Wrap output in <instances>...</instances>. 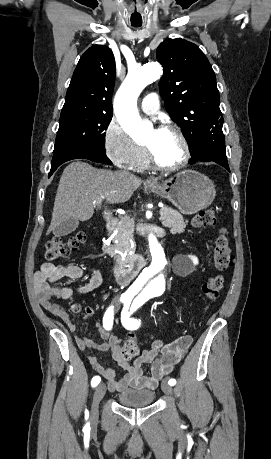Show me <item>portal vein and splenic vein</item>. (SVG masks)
Here are the masks:
<instances>
[{
  "label": "portal vein and splenic vein",
  "mask_w": 271,
  "mask_h": 459,
  "mask_svg": "<svg viewBox=\"0 0 271 459\" xmlns=\"http://www.w3.org/2000/svg\"><path fill=\"white\" fill-rule=\"evenodd\" d=\"M165 216H166L165 214H160V217H159L160 219H159V220H160V221H164Z\"/></svg>",
  "instance_id": "obj_1"
}]
</instances>
